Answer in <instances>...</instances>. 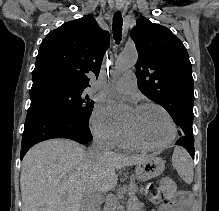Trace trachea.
<instances>
[{"label": "trachea", "instance_id": "3493384b", "mask_svg": "<svg viewBox=\"0 0 219 211\" xmlns=\"http://www.w3.org/2000/svg\"><path fill=\"white\" fill-rule=\"evenodd\" d=\"M123 18L120 12H116L113 16V37L117 43L121 41L122 37Z\"/></svg>", "mask_w": 219, "mask_h": 211}]
</instances>
